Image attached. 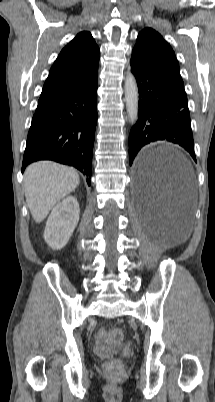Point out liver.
Listing matches in <instances>:
<instances>
[{
    "mask_svg": "<svg viewBox=\"0 0 215 402\" xmlns=\"http://www.w3.org/2000/svg\"><path fill=\"white\" fill-rule=\"evenodd\" d=\"M79 183L80 178L74 168L50 161L29 165L24 173V191L34 221L42 222Z\"/></svg>",
    "mask_w": 215,
    "mask_h": 402,
    "instance_id": "liver-1",
    "label": "liver"
}]
</instances>
